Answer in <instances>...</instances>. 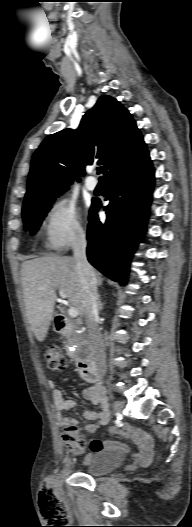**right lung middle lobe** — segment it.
<instances>
[{
	"mask_svg": "<svg viewBox=\"0 0 192 527\" xmlns=\"http://www.w3.org/2000/svg\"><path fill=\"white\" fill-rule=\"evenodd\" d=\"M54 200L55 197L40 203L23 207L22 215L26 230L30 231L32 234L38 230L42 220L50 210Z\"/></svg>",
	"mask_w": 192,
	"mask_h": 527,
	"instance_id": "dd1d6c3e",
	"label": "right lung middle lobe"
}]
</instances>
